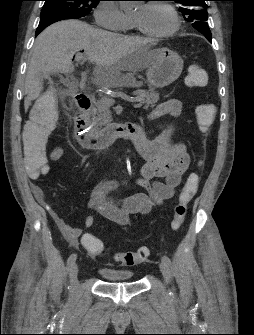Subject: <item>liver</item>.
<instances>
[{
    "instance_id": "obj_1",
    "label": "liver",
    "mask_w": 254,
    "mask_h": 335,
    "mask_svg": "<svg viewBox=\"0 0 254 335\" xmlns=\"http://www.w3.org/2000/svg\"><path fill=\"white\" fill-rule=\"evenodd\" d=\"M150 43V39L97 29L79 20L52 24L34 44L25 80V110L43 90V77L74 70L72 57L77 52L83 51L96 65L93 75L99 84L113 87L121 81V71L135 73L151 65Z\"/></svg>"
}]
</instances>
